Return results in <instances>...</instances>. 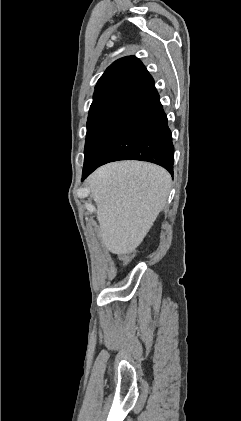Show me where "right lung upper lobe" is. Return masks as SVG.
I'll return each instance as SVG.
<instances>
[{
  "label": "right lung upper lobe",
  "mask_w": 241,
  "mask_h": 421,
  "mask_svg": "<svg viewBox=\"0 0 241 421\" xmlns=\"http://www.w3.org/2000/svg\"><path fill=\"white\" fill-rule=\"evenodd\" d=\"M153 84V78L138 58L118 59L98 80L89 113L116 104L132 103Z\"/></svg>",
  "instance_id": "obj_1"
}]
</instances>
